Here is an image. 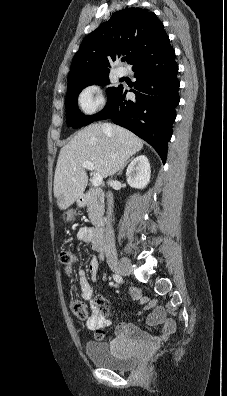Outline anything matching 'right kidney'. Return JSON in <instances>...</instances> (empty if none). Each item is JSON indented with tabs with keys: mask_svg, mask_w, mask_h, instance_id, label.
Segmentation results:
<instances>
[{
	"mask_svg": "<svg viewBox=\"0 0 227 396\" xmlns=\"http://www.w3.org/2000/svg\"><path fill=\"white\" fill-rule=\"evenodd\" d=\"M150 163L145 155L136 157L126 171L127 183L138 189H143L150 181Z\"/></svg>",
	"mask_w": 227,
	"mask_h": 396,
	"instance_id": "ca27d5eb",
	"label": "right kidney"
}]
</instances>
